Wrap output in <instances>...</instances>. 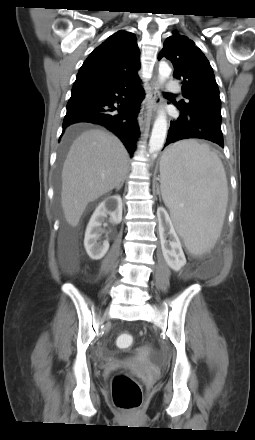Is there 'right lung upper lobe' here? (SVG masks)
Segmentation results:
<instances>
[{
	"label": "right lung upper lobe",
	"instance_id": "right-lung-upper-lobe-1",
	"mask_svg": "<svg viewBox=\"0 0 255 440\" xmlns=\"http://www.w3.org/2000/svg\"><path fill=\"white\" fill-rule=\"evenodd\" d=\"M140 51L135 35L118 31L108 37L81 66L72 93L104 88L137 75Z\"/></svg>",
	"mask_w": 255,
	"mask_h": 440
}]
</instances>
